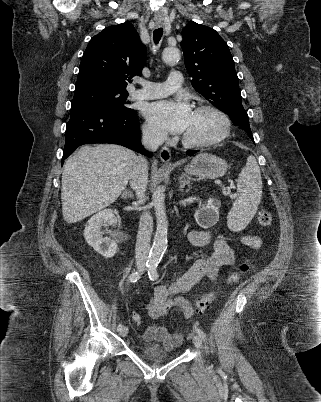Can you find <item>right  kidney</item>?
<instances>
[{
  "label": "right kidney",
  "mask_w": 321,
  "mask_h": 402,
  "mask_svg": "<svg viewBox=\"0 0 321 402\" xmlns=\"http://www.w3.org/2000/svg\"><path fill=\"white\" fill-rule=\"evenodd\" d=\"M108 224L113 226L117 224L112 209L102 210L92 216L84 229V237L88 245L105 258L113 257L117 251V243L114 240L102 237L101 227Z\"/></svg>",
  "instance_id": "obj_1"
}]
</instances>
